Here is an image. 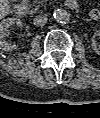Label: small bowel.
<instances>
[{"mask_svg":"<svg viewBox=\"0 0 100 118\" xmlns=\"http://www.w3.org/2000/svg\"><path fill=\"white\" fill-rule=\"evenodd\" d=\"M92 16H93L94 18H97V17L99 16V11H98V10H93V11H92Z\"/></svg>","mask_w":100,"mask_h":118,"instance_id":"1","label":"small bowel"}]
</instances>
